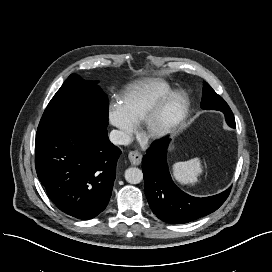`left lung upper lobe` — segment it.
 <instances>
[{
  "label": "left lung upper lobe",
  "instance_id": "left-lung-upper-lobe-1",
  "mask_svg": "<svg viewBox=\"0 0 272 272\" xmlns=\"http://www.w3.org/2000/svg\"><path fill=\"white\" fill-rule=\"evenodd\" d=\"M201 107L206 110L226 111L231 110L224 99L219 96L207 82H203V97ZM232 127H235V120L232 121Z\"/></svg>",
  "mask_w": 272,
  "mask_h": 272
}]
</instances>
